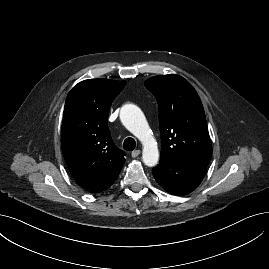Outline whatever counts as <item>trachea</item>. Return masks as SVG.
Wrapping results in <instances>:
<instances>
[{
    "mask_svg": "<svg viewBox=\"0 0 269 269\" xmlns=\"http://www.w3.org/2000/svg\"><path fill=\"white\" fill-rule=\"evenodd\" d=\"M135 146H136V142L131 137L126 138L125 141H124V143H123V148L126 151H132V150H134L135 149Z\"/></svg>",
    "mask_w": 269,
    "mask_h": 269,
    "instance_id": "1",
    "label": "trachea"
}]
</instances>
